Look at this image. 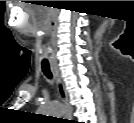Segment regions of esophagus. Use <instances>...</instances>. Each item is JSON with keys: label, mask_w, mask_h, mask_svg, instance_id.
Instances as JSON below:
<instances>
[{"label": "esophagus", "mask_w": 134, "mask_h": 123, "mask_svg": "<svg viewBox=\"0 0 134 123\" xmlns=\"http://www.w3.org/2000/svg\"><path fill=\"white\" fill-rule=\"evenodd\" d=\"M51 71H52L53 76H54V79L56 81V85H57V89H58V93H59L60 99L63 102L64 106L68 109V111H70V105H69V101H68V95H67V92L65 90V86L63 84V81L61 79L60 72L54 66H51ZM70 117L71 116L68 113V114H65L63 116V119H69Z\"/></svg>", "instance_id": "34e87169"}]
</instances>
